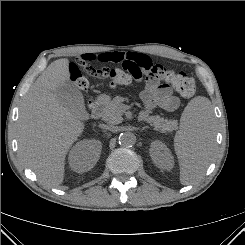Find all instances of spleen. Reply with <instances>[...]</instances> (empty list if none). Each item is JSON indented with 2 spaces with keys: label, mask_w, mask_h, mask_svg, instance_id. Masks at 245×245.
I'll return each mask as SVG.
<instances>
[{
  "label": "spleen",
  "mask_w": 245,
  "mask_h": 245,
  "mask_svg": "<svg viewBox=\"0 0 245 245\" xmlns=\"http://www.w3.org/2000/svg\"><path fill=\"white\" fill-rule=\"evenodd\" d=\"M213 119L211 102L203 96L193 98L182 113L174 147L183 185L196 181L210 163L215 137Z\"/></svg>",
  "instance_id": "spleen-1"
}]
</instances>
